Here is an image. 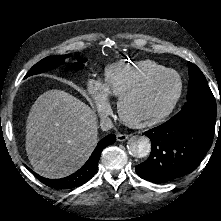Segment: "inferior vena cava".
Masks as SVG:
<instances>
[{"mask_svg": "<svg viewBox=\"0 0 221 221\" xmlns=\"http://www.w3.org/2000/svg\"><path fill=\"white\" fill-rule=\"evenodd\" d=\"M100 126L103 131H107L113 127V123L109 117H105L102 118Z\"/></svg>", "mask_w": 221, "mask_h": 221, "instance_id": "obj_1", "label": "inferior vena cava"}]
</instances>
